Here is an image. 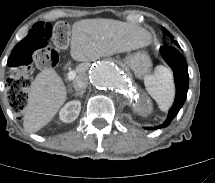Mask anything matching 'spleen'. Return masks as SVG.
I'll list each match as a JSON object with an SVG mask.
<instances>
[{"instance_id": "spleen-1", "label": "spleen", "mask_w": 215, "mask_h": 183, "mask_svg": "<svg viewBox=\"0 0 215 183\" xmlns=\"http://www.w3.org/2000/svg\"><path fill=\"white\" fill-rule=\"evenodd\" d=\"M147 92L157 102L162 111H167L174 99V82L169 68L160 66L153 74L144 77Z\"/></svg>"}]
</instances>
